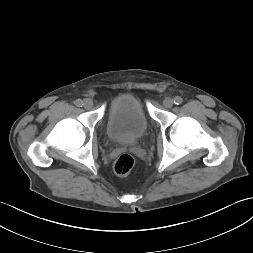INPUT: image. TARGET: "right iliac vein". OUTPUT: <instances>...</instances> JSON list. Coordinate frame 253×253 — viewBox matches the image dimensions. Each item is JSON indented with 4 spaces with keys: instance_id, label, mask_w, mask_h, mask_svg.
Masks as SVG:
<instances>
[{
    "instance_id": "obj_1",
    "label": "right iliac vein",
    "mask_w": 253,
    "mask_h": 253,
    "mask_svg": "<svg viewBox=\"0 0 253 253\" xmlns=\"http://www.w3.org/2000/svg\"><path fill=\"white\" fill-rule=\"evenodd\" d=\"M83 106L86 108V109H90L92 106H93V101L91 99H84L83 101Z\"/></svg>"
}]
</instances>
